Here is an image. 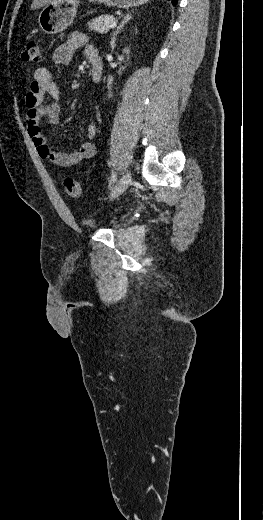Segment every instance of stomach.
<instances>
[{
	"label": "stomach",
	"mask_w": 263,
	"mask_h": 520,
	"mask_svg": "<svg viewBox=\"0 0 263 520\" xmlns=\"http://www.w3.org/2000/svg\"><path fill=\"white\" fill-rule=\"evenodd\" d=\"M118 8L143 5L148 0H90ZM79 0H63L46 5L39 14L38 23L46 34H57L70 26L76 16Z\"/></svg>",
	"instance_id": "obj_1"
}]
</instances>
